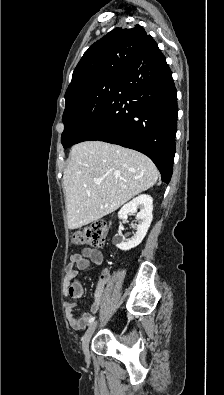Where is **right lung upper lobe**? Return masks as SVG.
<instances>
[{
    "mask_svg": "<svg viewBox=\"0 0 224 395\" xmlns=\"http://www.w3.org/2000/svg\"><path fill=\"white\" fill-rule=\"evenodd\" d=\"M149 37L138 24L131 29L117 27L109 32L84 53L65 97L100 79L122 76Z\"/></svg>",
    "mask_w": 224,
    "mask_h": 395,
    "instance_id": "right-lung-upper-lobe-1",
    "label": "right lung upper lobe"
}]
</instances>
